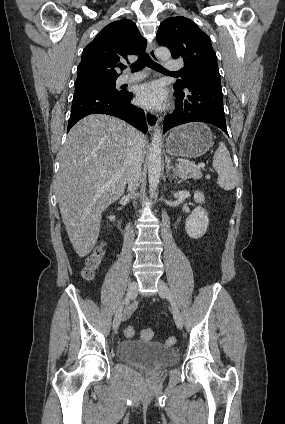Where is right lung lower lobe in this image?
<instances>
[{"instance_id":"obj_1","label":"right lung lower lobe","mask_w":285,"mask_h":424,"mask_svg":"<svg viewBox=\"0 0 285 424\" xmlns=\"http://www.w3.org/2000/svg\"><path fill=\"white\" fill-rule=\"evenodd\" d=\"M131 99L132 93L127 91H121L120 93L99 90L75 92L68 121V131L83 117L89 114L101 113L118 117L146 134L145 114L141 109L130 103Z\"/></svg>"}]
</instances>
